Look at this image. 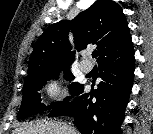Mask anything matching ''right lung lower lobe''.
Returning <instances> with one entry per match:
<instances>
[{"mask_svg":"<svg viewBox=\"0 0 153 134\" xmlns=\"http://www.w3.org/2000/svg\"><path fill=\"white\" fill-rule=\"evenodd\" d=\"M98 63L102 81L94 93H84L82 86L71 102L55 107L49 116H73L81 134H121L133 84V43L107 53Z\"/></svg>","mask_w":153,"mask_h":134,"instance_id":"obj_1","label":"right lung lower lobe"}]
</instances>
